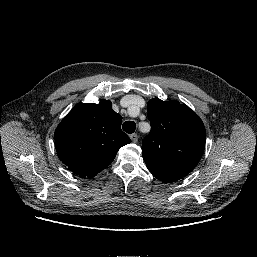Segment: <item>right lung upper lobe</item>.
I'll return each instance as SVG.
<instances>
[{
	"mask_svg": "<svg viewBox=\"0 0 257 257\" xmlns=\"http://www.w3.org/2000/svg\"><path fill=\"white\" fill-rule=\"evenodd\" d=\"M121 123L122 117L109 100L79 103L55 131L59 159L75 174L94 177L114 160L122 146L131 142Z\"/></svg>",
	"mask_w": 257,
	"mask_h": 257,
	"instance_id": "cb5924a9",
	"label": "right lung upper lobe"
}]
</instances>
